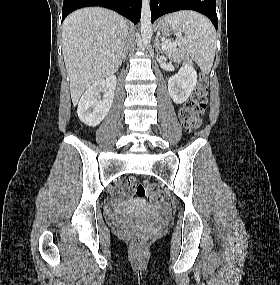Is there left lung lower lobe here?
I'll use <instances>...</instances> for the list:
<instances>
[{
  "instance_id": "left-lung-lower-lobe-1",
  "label": "left lung lower lobe",
  "mask_w": 280,
  "mask_h": 285,
  "mask_svg": "<svg viewBox=\"0 0 280 285\" xmlns=\"http://www.w3.org/2000/svg\"><path fill=\"white\" fill-rule=\"evenodd\" d=\"M150 8L152 23L167 13L194 10L206 15L217 30L216 0H150Z\"/></svg>"
}]
</instances>
